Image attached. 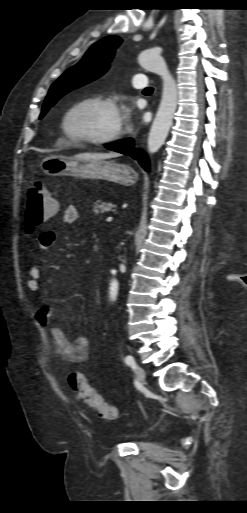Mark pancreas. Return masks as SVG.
I'll return each mask as SVG.
<instances>
[{
  "mask_svg": "<svg viewBox=\"0 0 247 513\" xmlns=\"http://www.w3.org/2000/svg\"><path fill=\"white\" fill-rule=\"evenodd\" d=\"M115 208H116V205H114L112 203L100 202V203H96L93 205V212L96 215H99V214H104L105 212H110V211L114 210Z\"/></svg>",
  "mask_w": 247,
  "mask_h": 513,
  "instance_id": "pancreas-1",
  "label": "pancreas"
}]
</instances>
